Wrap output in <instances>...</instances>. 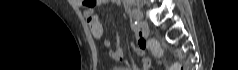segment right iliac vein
I'll use <instances>...</instances> for the list:
<instances>
[{
	"mask_svg": "<svg viewBox=\"0 0 238 70\" xmlns=\"http://www.w3.org/2000/svg\"><path fill=\"white\" fill-rule=\"evenodd\" d=\"M132 16L137 22H139L140 24H144L143 13L139 9L137 8L132 9Z\"/></svg>",
	"mask_w": 238,
	"mask_h": 70,
	"instance_id": "63e3f726",
	"label": "right iliac vein"
}]
</instances>
